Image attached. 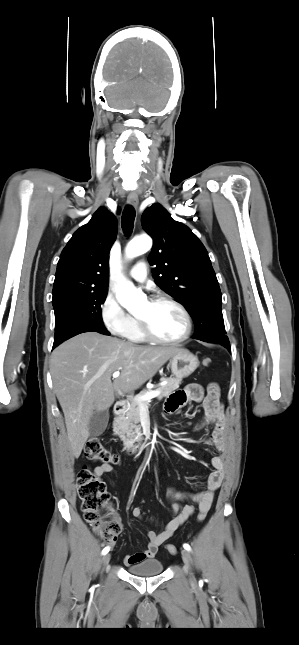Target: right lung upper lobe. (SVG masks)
I'll use <instances>...</instances> for the list:
<instances>
[{"instance_id":"right-lung-upper-lobe-1","label":"right lung upper lobe","mask_w":299,"mask_h":645,"mask_svg":"<svg viewBox=\"0 0 299 645\" xmlns=\"http://www.w3.org/2000/svg\"><path fill=\"white\" fill-rule=\"evenodd\" d=\"M116 234V219L104 207L73 234L58 261L53 300L67 292L108 290L109 252Z\"/></svg>"}]
</instances>
